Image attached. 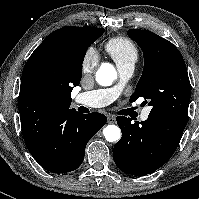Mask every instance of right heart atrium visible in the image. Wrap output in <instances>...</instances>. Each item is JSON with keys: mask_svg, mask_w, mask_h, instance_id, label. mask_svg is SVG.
I'll return each instance as SVG.
<instances>
[{"mask_svg": "<svg viewBox=\"0 0 199 199\" xmlns=\"http://www.w3.org/2000/svg\"><path fill=\"white\" fill-rule=\"evenodd\" d=\"M98 54L93 48H89L82 60V70L83 72H89L93 70L98 62Z\"/></svg>", "mask_w": 199, "mask_h": 199, "instance_id": "right-heart-atrium-1", "label": "right heart atrium"}]
</instances>
